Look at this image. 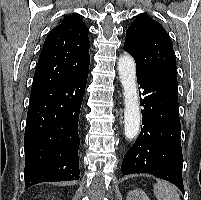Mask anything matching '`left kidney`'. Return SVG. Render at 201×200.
<instances>
[{
    "label": "left kidney",
    "instance_id": "obj_1",
    "mask_svg": "<svg viewBox=\"0 0 201 200\" xmlns=\"http://www.w3.org/2000/svg\"><path fill=\"white\" fill-rule=\"evenodd\" d=\"M126 200H150L144 191L140 189H134L129 191Z\"/></svg>",
    "mask_w": 201,
    "mask_h": 200
}]
</instances>
